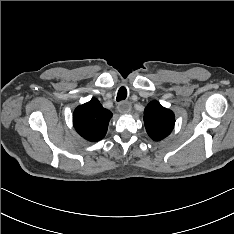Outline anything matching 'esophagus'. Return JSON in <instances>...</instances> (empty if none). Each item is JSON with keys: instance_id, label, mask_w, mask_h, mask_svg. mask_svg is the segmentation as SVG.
<instances>
[{"instance_id": "obj_1", "label": "esophagus", "mask_w": 234, "mask_h": 234, "mask_svg": "<svg viewBox=\"0 0 234 234\" xmlns=\"http://www.w3.org/2000/svg\"><path fill=\"white\" fill-rule=\"evenodd\" d=\"M131 104L129 102H121L117 105V110L120 113H129L131 111Z\"/></svg>"}]
</instances>
